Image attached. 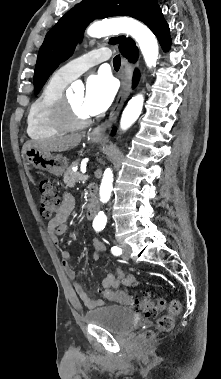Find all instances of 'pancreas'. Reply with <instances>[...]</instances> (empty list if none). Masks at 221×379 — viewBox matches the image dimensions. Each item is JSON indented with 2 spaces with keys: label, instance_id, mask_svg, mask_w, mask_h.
<instances>
[{
  "label": "pancreas",
  "instance_id": "pancreas-1",
  "mask_svg": "<svg viewBox=\"0 0 221 379\" xmlns=\"http://www.w3.org/2000/svg\"><path fill=\"white\" fill-rule=\"evenodd\" d=\"M79 164V160L74 161L66 170L63 180L66 186L68 187H74L76 182L81 180L83 178V175H81L79 172H74L72 170L73 166H76Z\"/></svg>",
  "mask_w": 221,
  "mask_h": 379
}]
</instances>
